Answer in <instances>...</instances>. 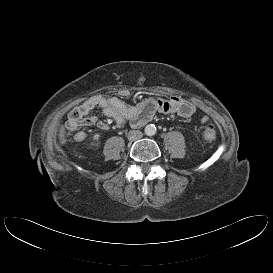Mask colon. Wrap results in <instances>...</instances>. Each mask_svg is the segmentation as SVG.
<instances>
[{"mask_svg":"<svg viewBox=\"0 0 273 273\" xmlns=\"http://www.w3.org/2000/svg\"><path fill=\"white\" fill-rule=\"evenodd\" d=\"M203 136L208 141H214L216 139V129L213 125L207 124L203 129Z\"/></svg>","mask_w":273,"mask_h":273,"instance_id":"5ec220e1","label":"colon"}]
</instances>
